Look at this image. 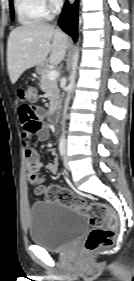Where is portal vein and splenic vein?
<instances>
[{"instance_id": "1", "label": "portal vein and splenic vein", "mask_w": 134, "mask_h": 281, "mask_svg": "<svg viewBox=\"0 0 134 281\" xmlns=\"http://www.w3.org/2000/svg\"><path fill=\"white\" fill-rule=\"evenodd\" d=\"M58 77V71L56 70H51L48 73V79L49 80H55Z\"/></svg>"}]
</instances>
